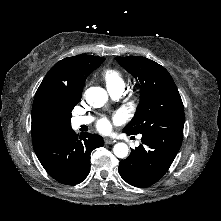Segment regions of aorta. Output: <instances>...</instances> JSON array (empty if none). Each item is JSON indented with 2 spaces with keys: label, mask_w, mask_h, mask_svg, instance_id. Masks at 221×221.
<instances>
[{
  "label": "aorta",
  "mask_w": 221,
  "mask_h": 221,
  "mask_svg": "<svg viewBox=\"0 0 221 221\" xmlns=\"http://www.w3.org/2000/svg\"><path fill=\"white\" fill-rule=\"evenodd\" d=\"M108 99L107 92L101 87H90L86 91V100L91 106H102ZM129 148L127 144L120 142L114 145L113 153L118 158L127 157Z\"/></svg>",
  "instance_id": "obj_1"
}]
</instances>
